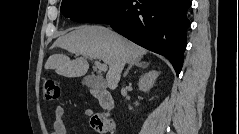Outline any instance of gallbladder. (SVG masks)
Returning <instances> with one entry per match:
<instances>
[{
  "label": "gallbladder",
  "mask_w": 239,
  "mask_h": 134,
  "mask_svg": "<svg viewBox=\"0 0 239 134\" xmlns=\"http://www.w3.org/2000/svg\"><path fill=\"white\" fill-rule=\"evenodd\" d=\"M83 84L89 86V87H95V88H102L103 84L101 82V80H99L98 78L94 77V76H86L83 80Z\"/></svg>",
  "instance_id": "obj_1"
}]
</instances>
